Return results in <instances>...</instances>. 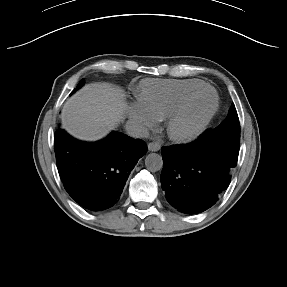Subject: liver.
<instances>
[{"label": "liver", "instance_id": "6515ba94", "mask_svg": "<svg viewBox=\"0 0 287 287\" xmlns=\"http://www.w3.org/2000/svg\"><path fill=\"white\" fill-rule=\"evenodd\" d=\"M127 108L123 91L110 83L84 86L67 100L61 123L69 134L84 141H96L115 129Z\"/></svg>", "mask_w": 287, "mask_h": 287}]
</instances>
